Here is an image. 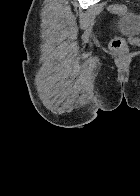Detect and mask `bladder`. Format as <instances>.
<instances>
[{"mask_svg":"<svg viewBox=\"0 0 140 196\" xmlns=\"http://www.w3.org/2000/svg\"><path fill=\"white\" fill-rule=\"evenodd\" d=\"M122 16L124 17V22L120 25V30L132 34L140 31V23L138 18L129 16L127 13H124Z\"/></svg>","mask_w":140,"mask_h":196,"instance_id":"bladder-1","label":"bladder"}]
</instances>
